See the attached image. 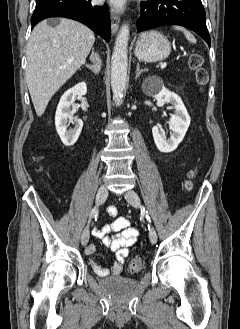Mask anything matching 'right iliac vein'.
Wrapping results in <instances>:
<instances>
[{"label":"right iliac vein","mask_w":240,"mask_h":329,"mask_svg":"<svg viewBox=\"0 0 240 329\" xmlns=\"http://www.w3.org/2000/svg\"><path fill=\"white\" fill-rule=\"evenodd\" d=\"M108 196V189L106 185H102L96 195V204L97 206L103 204L105 200L107 199ZM90 238V231H89V226H86L81 234V244L83 246H86L89 242Z\"/></svg>","instance_id":"1"}]
</instances>
